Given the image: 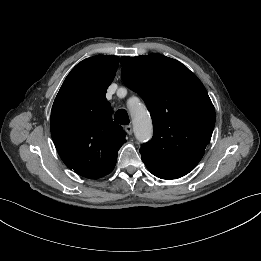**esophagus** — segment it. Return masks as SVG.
<instances>
[{"label":"esophagus","mask_w":261,"mask_h":261,"mask_svg":"<svg viewBox=\"0 0 261 261\" xmlns=\"http://www.w3.org/2000/svg\"><path fill=\"white\" fill-rule=\"evenodd\" d=\"M124 130H125V132H126L128 135H131L132 132H133V129H132V126H131V125H126V126L124 127Z\"/></svg>","instance_id":"1"}]
</instances>
